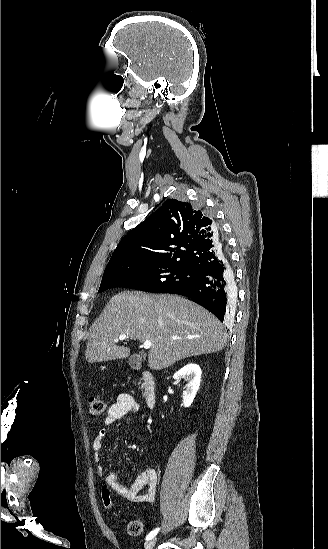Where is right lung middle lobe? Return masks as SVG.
I'll return each mask as SVG.
<instances>
[{
    "label": "right lung middle lobe",
    "mask_w": 328,
    "mask_h": 549,
    "mask_svg": "<svg viewBox=\"0 0 328 549\" xmlns=\"http://www.w3.org/2000/svg\"><path fill=\"white\" fill-rule=\"evenodd\" d=\"M198 274V271L184 266L129 260L104 272L98 292L113 287H128L152 293H165L192 282Z\"/></svg>",
    "instance_id": "dd1d6c3e"
}]
</instances>
